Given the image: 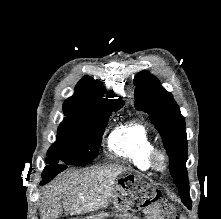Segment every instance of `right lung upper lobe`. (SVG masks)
Wrapping results in <instances>:
<instances>
[{"label":"right lung upper lobe","mask_w":221,"mask_h":219,"mask_svg":"<svg viewBox=\"0 0 221 219\" xmlns=\"http://www.w3.org/2000/svg\"><path fill=\"white\" fill-rule=\"evenodd\" d=\"M75 90V95L63 104V112L67 118L97 120L110 115L112 111H116L124 105L122 97L108 99L115 97L114 93L103 98L105 88L102 83L89 76L83 77Z\"/></svg>","instance_id":"obj_1"}]
</instances>
